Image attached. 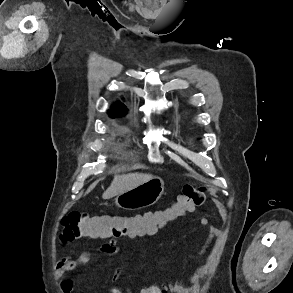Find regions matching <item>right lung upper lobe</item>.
Wrapping results in <instances>:
<instances>
[{"label": "right lung upper lobe", "instance_id": "cb5924a9", "mask_svg": "<svg viewBox=\"0 0 293 293\" xmlns=\"http://www.w3.org/2000/svg\"><path fill=\"white\" fill-rule=\"evenodd\" d=\"M111 116H122L126 113L125 106L121 103H117L113 106V108L109 111Z\"/></svg>", "mask_w": 293, "mask_h": 293}]
</instances>
